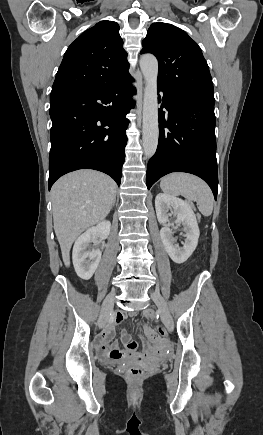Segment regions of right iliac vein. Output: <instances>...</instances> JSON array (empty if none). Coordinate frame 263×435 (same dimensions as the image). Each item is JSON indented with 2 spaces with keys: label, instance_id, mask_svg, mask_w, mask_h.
<instances>
[{
  "label": "right iliac vein",
  "instance_id": "obj_1",
  "mask_svg": "<svg viewBox=\"0 0 263 435\" xmlns=\"http://www.w3.org/2000/svg\"><path fill=\"white\" fill-rule=\"evenodd\" d=\"M114 300H115V293H110L104 300L103 305H102V310H101V315H100V319H99V327L102 328L109 317V313L111 311V309L113 308L114 305Z\"/></svg>",
  "mask_w": 263,
  "mask_h": 435
}]
</instances>
